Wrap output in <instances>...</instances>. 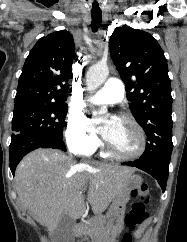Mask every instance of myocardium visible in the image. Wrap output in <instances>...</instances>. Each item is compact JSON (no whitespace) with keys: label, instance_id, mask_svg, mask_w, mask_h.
<instances>
[{"label":"myocardium","instance_id":"1","mask_svg":"<svg viewBox=\"0 0 187 242\" xmlns=\"http://www.w3.org/2000/svg\"><path fill=\"white\" fill-rule=\"evenodd\" d=\"M116 118L130 123L136 129L139 136V146L136 151L125 153L113 149L108 142H106L104 147L105 153L118 159H134L140 157L145 152L147 147V137L144 128L132 115L128 113H119Z\"/></svg>","mask_w":187,"mask_h":242}]
</instances>
